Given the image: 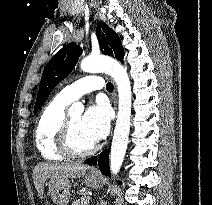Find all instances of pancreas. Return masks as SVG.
I'll list each match as a JSON object with an SVG mask.
<instances>
[{
	"instance_id": "1",
	"label": "pancreas",
	"mask_w": 212,
	"mask_h": 205,
	"mask_svg": "<svg viewBox=\"0 0 212 205\" xmlns=\"http://www.w3.org/2000/svg\"><path fill=\"white\" fill-rule=\"evenodd\" d=\"M89 197H82L72 203V205H88Z\"/></svg>"
}]
</instances>
